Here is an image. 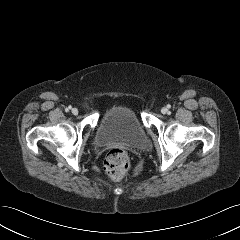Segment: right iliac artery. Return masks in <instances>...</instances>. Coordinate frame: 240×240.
Instances as JSON below:
<instances>
[{
    "mask_svg": "<svg viewBox=\"0 0 240 240\" xmlns=\"http://www.w3.org/2000/svg\"><path fill=\"white\" fill-rule=\"evenodd\" d=\"M71 108H72L71 106H68L65 110L69 111Z\"/></svg>",
    "mask_w": 240,
    "mask_h": 240,
    "instance_id": "82829eb1",
    "label": "right iliac artery"
}]
</instances>
